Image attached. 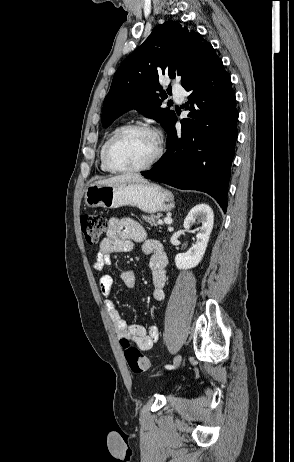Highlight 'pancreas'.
Masks as SVG:
<instances>
[{
  "label": "pancreas",
  "mask_w": 294,
  "mask_h": 462,
  "mask_svg": "<svg viewBox=\"0 0 294 462\" xmlns=\"http://www.w3.org/2000/svg\"><path fill=\"white\" fill-rule=\"evenodd\" d=\"M159 217V215H143L142 219L151 226H157Z\"/></svg>",
  "instance_id": "1"
}]
</instances>
